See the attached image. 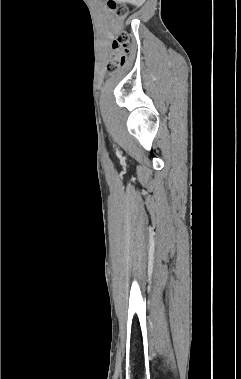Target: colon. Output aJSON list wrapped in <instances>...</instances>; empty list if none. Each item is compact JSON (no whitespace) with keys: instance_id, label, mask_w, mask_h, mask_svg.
Returning <instances> with one entry per match:
<instances>
[{"instance_id":"5ec220e1","label":"colon","mask_w":241,"mask_h":379,"mask_svg":"<svg viewBox=\"0 0 241 379\" xmlns=\"http://www.w3.org/2000/svg\"><path fill=\"white\" fill-rule=\"evenodd\" d=\"M108 8L110 11L122 16L124 11L119 9L114 1L109 2ZM130 35L122 31L113 40L110 59L107 63V69L110 72H116L120 68H123L127 63V57L130 46Z\"/></svg>"}]
</instances>
